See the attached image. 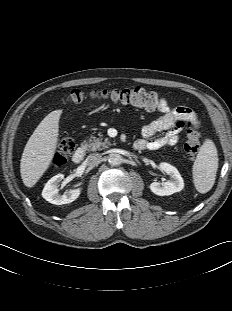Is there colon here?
<instances>
[{"mask_svg":"<svg viewBox=\"0 0 232 311\" xmlns=\"http://www.w3.org/2000/svg\"><path fill=\"white\" fill-rule=\"evenodd\" d=\"M91 97L95 99H111L121 104L143 108L149 111H159L162 107V98L155 92L147 91L141 87H132L116 89L112 91H93ZM84 99V93L79 90L71 91L65 101L71 104H77ZM194 116L187 122V140L184 144V150L187 156L193 159L199 151V117L193 110ZM75 144L69 137H64L58 144L56 153L53 156V165L55 167L63 166L67 157L74 150Z\"/></svg>","mask_w":232,"mask_h":311,"instance_id":"colon-1","label":"colon"}]
</instances>
